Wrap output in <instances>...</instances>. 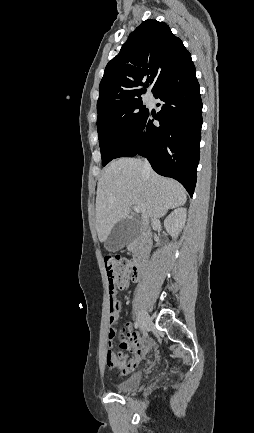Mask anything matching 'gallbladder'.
Here are the masks:
<instances>
[{"mask_svg":"<svg viewBox=\"0 0 254 433\" xmlns=\"http://www.w3.org/2000/svg\"><path fill=\"white\" fill-rule=\"evenodd\" d=\"M142 231L140 221L136 219H122L115 224L105 241V248L110 252H115L123 248L126 244L139 237Z\"/></svg>","mask_w":254,"mask_h":433,"instance_id":"obj_1","label":"gallbladder"}]
</instances>
